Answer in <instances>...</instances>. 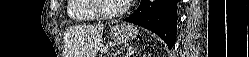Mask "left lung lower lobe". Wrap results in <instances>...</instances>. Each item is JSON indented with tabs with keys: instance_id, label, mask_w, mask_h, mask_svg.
<instances>
[{
	"instance_id": "left-lung-lower-lobe-1",
	"label": "left lung lower lobe",
	"mask_w": 249,
	"mask_h": 57,
	"mask_svg": "<svg viewBox=\"0 0 249 57\" xmlns=\"http://www.w3.org/2000/svg\"><path fill=\"white\" fill-rule=\"evenodd\" d=\"M179 0H141L137 10L124 21L137 24L159 35L172 48L177 34Z\"/></svg>"
}]
</instances>
